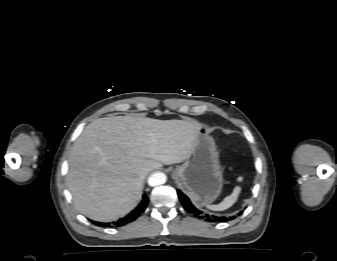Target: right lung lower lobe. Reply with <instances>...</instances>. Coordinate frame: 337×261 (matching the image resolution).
<instances>
[{
  "mask_svg": "<svg viewBox=\"0 0 337 261\" xmlns=\"http://www.w3.org/2000/svg\"><path fill=\"white\" fill-rule=\"evenodd\" d=\"M148 197L146 195H143V200L141 201V203L132 211L130 212L128 215H126L124 218H121L120 220H118L117 222H113V223H100V222H95L97 225H102V226H123L126 225L132 221H134L146 208L147 204H148Z\"/></svg>",
  "mask_w": 337,
  "mask_h": 261,
  "instance_id": "1",
  "label": "right lung lower lobe"
}]
</instances>
